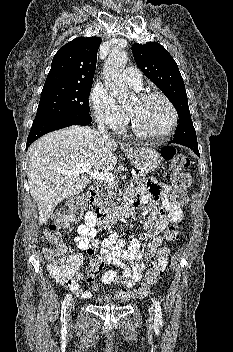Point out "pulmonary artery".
Wrapping results in <instances>:
<instances>
[{
  "instance_id": "pulmonary-artery-1",
  "label": "pulmonary artery",
  "mask_w": 233,
  "mask_h": 352,
  "mask_svg": "<svg viewBox=\"0 0 233 352\" xmlns=\"http://www.w3.org/2000/svg\"><path fill=\"white\" fill-rule=\"evenodd\" d=\"M123 80L126 84L133 87L136 90L142 88V75L136 68H126L122 73Z\"/></svg>"
}]
</instances>
